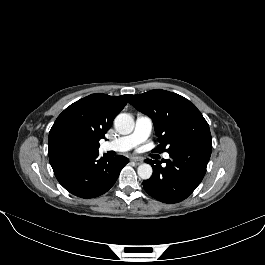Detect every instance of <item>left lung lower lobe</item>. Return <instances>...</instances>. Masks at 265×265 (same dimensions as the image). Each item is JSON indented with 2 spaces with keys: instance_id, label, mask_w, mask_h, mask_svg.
<instances>
[{
  "instance_id": "1",
  "label": "left lung lower lobe",
  "mask_w": 265,
  "mask_h": 265,
  "mask_svg": "<svg viewBox=\"0 0 265 265\" xmlns=\"http://www.w3.org/2000/svg\"><path fill=\"white\" fill-rule=\"evenodd\" d=\"M211 152V139H204L169 152L170 159L145 160L153 168V175L143 181L145 191L164 203L181 202L204 178ZM162 162L166 163L165 167L161 166Z\"/></svg>"
}]
</instances>
